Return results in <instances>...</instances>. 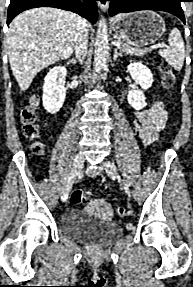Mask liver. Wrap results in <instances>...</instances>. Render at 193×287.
<instances>
[{
    "instance_id": "obj_1",
    "label": "liver",
    "mask_w": 193,
    "mask_h": 287,
    "mask_svg": "<svg viewBox=\"0 0 193 287\" xmlns=\"http://www.w3.org/2000/svg\"><path fill=\"white\" fill-rule=\"evenodd\" d=\"M77 16L57 8L27 10L13 19L7 48L13 75L25 92L36 74L74 50Z\"/></svg>"
}]
</instances>
